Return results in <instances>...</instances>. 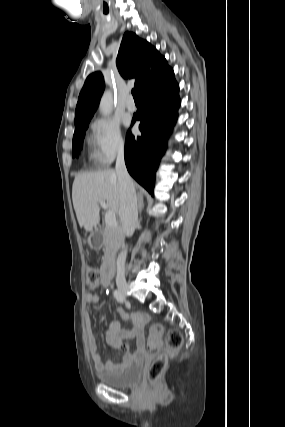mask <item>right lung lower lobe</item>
<instances>
[{"mask_svg":"<svg viewBox=\"0 0 285 427\" xmlns=\"http://www.w3.org/2000/svg\"><path fill=\"white\" fill-rule=\"evenodd\" d=\"M179 86L169 67L140 91L142 108L132 120H140L141 136L130 130L125 142V163L130 175L149 193H153L155 173L164 154L167 135L171 132L180 106Z\"/></svg>","mask_w":285,"mask_h":427,"instance_id":"1","label":"right lung lower lobe"}]
</instances>
